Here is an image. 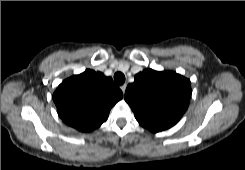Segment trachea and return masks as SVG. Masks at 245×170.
<instances>
[{"label":"trachea","instance_id":"1","mask_svg":"<svg viewBox=\"0 0 245 170\" xmlns=\"http://www.w3.org/2000/svg\"><path fill=\"white\" fill-rule=\"evenodd\" d=\"M114 80L117 85H122L125 82V75L121 72H117L114 75Z\"/></svg>","mask_w":245,"mask_h":170}]
</instances>
